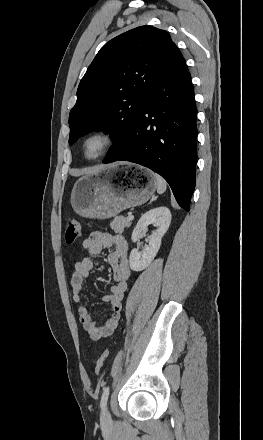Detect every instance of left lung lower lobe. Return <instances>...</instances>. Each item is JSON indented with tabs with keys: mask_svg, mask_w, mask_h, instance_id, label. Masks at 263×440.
I'll list each match as a JSON object with an SVG mask.
<instances>
[{
	"mask_svg": "<svg viewBox=\"0 0 263 440\" xmlns=\"http://www.w3.org/2000/svg\"><path fill=\"white\" fill-rule=\"evenodd\" d=\"M196 114L190 73L175 46L137 115L130 146L104 163L130 161L155 171L189 211L196 183Z\"/></svg>",
	"mask_w": 263,
	"mask_h": 440,
	"instance_id": "obj_1",
	"label": "left lung lower lobe"
}]
</instances>
